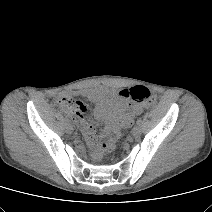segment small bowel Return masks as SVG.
Listing matches in <instances>:
<instances>
[{
  "mask_svg": "<svg viewBox=\"0 0 212 212\" xmlns=\"http://www.w3.org/2000/svg\"><path fill=\"white\" fill-rule=\"evenodd\" d=\"M82 95L94 104L95 118L106 122L103 135H108L122 127H129L133 123L134 117L142 111L141 106L125 103L122 97L107 87L99 86L89 89L83 91ZM76 122L89 145L98 155V138L95 127L88 124L82 116L77 118Z\"/></svg>",
  "mask_w": 212,
  "mask_h": 212,
  "instance_id": "obj_1",
  "label": "small bowel"
}]
</instances>
